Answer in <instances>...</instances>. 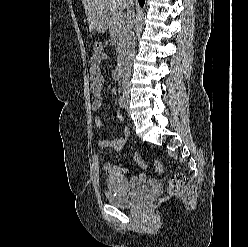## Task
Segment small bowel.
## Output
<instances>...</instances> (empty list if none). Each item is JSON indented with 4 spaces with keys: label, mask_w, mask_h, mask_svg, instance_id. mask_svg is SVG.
<instances>
[{
    "label": "small bowel",
    "mask_w": 248,
    "mask_h": 247,
    "mask_svg": "<svg viewBox=\"0 0 248 247\" xmlns=\"http://www.w3.org/2000/svg\"><path fill=\"white\" fill-rule=\"evenodd\" d=\"M106 59H108V56L101 50L100 52H94L89 62L90 89L94 96V99L91 102V109L93 111H98L103 104L102 84L104 81V77L101 73L100 62ZM117 119L121 121L122 116L118 114ZM94 124L97 127H101L103 125V120L100 117H95ZM129 133V129L125 127L122 130V135L120 137L113 138L111 140H102L100 141L99 146L103 151L119 150L124 146ZM104 169L109 173L119 172V174L120 172L127 171V168H124L122 166H115L110 163H106L104 165ZM145 180L146 175L144 173H140L129 180L124 178V182L127 187H136L143 183Z\"/></svg>",
    "instance_id": "c3829d8e"
}]
</instances>
